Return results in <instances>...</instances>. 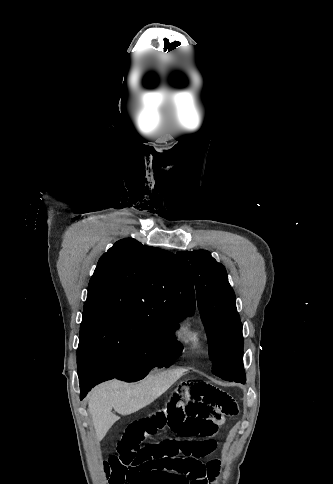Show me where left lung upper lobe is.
Masks as SVG:
<instances>
[{
	"label": "left lung upper lobe",
	"mask_w": 333,
	"mask_h": 484,
	"mask_svg": "<svg viewBox=\"0 0 333 484\" xmlns=\"http://www.w3.org/2000/svg\"><path fill=\"white\" fill-rule=\"evenodd\" d=\"M195 283L205 326L213 373L225 380L245 381L238 358L243 353L242 324L225 267L206 250L177 252Z\"/></svg>",
	"instance_id": "5c2ea615"
}]
</instances>
